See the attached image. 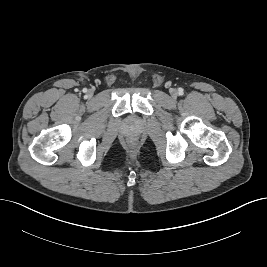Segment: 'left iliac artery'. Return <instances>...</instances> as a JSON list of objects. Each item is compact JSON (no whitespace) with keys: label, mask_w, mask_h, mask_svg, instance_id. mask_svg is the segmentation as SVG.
<instances>
[{"label":"left iliac artery","mask_w":267,"mask_h":267,"mask_svg":"<svg viewBox=\"0 0 267 267\" xmlns=\"http://www.w3.org/2000/svg\"><path fill=\"white\" fill-rule=\"evenodd\" d=\"M179 94H183V89L182 88L179 89Z\"/></svg>","instance_id":"44dca946"}]
</instances>
